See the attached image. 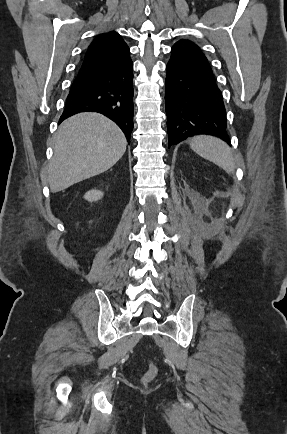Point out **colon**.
<instances>
[{"instance_id": "colon-1", "label": "colon", "mask_w": 287, "mask_h": 434, "mask_svg": "<svg viewBox=\"0 0 287 434\" xmlns=\"http://www.w3.org/2000/svg\"><path fill=\"white\" fill-rule=\"evenodd\" d=\"M156 374H157V367L154 363L150 362L147 372L142 377V382L144 384L149 383L155 378Z\"/></svg>"}]
</instances>
